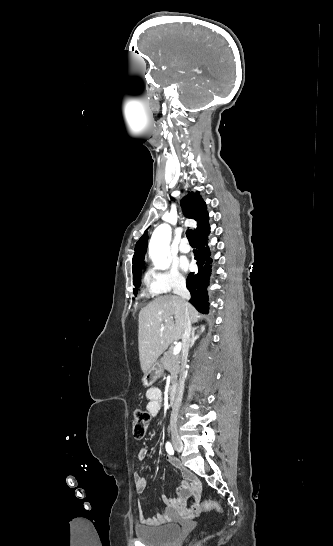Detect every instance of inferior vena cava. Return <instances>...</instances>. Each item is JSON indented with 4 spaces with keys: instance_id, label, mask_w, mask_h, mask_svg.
<instances>
[{
    "instance_id": "obj_1",
    "label": "inferior vena cava",
    "mask_w": 333,
    "mask_h": 546,
    "mask_svg": "<svg viewBox=\"0 0 333 546\" xmlns=\"http://www.w3.org/2000/svg\"><path fill=\"white\" fill-rule=\"evenodd\" d=\"M173 292L174 294L180 296L184 301L190 299V292L186 288V283L184 280H175L173 285ZM191 321L186 313L185 315V325H184V333H183V354L184 357L187 356L188 348L190 344V335H191ZM185 369L182 368V372L179 379V385L177 389V395L176 399L173 404L171 417H170V430L171 431H177V417L179 413V409L182 402V396L184 391V382H185Z\"/></svg>"
}]
</instances>
